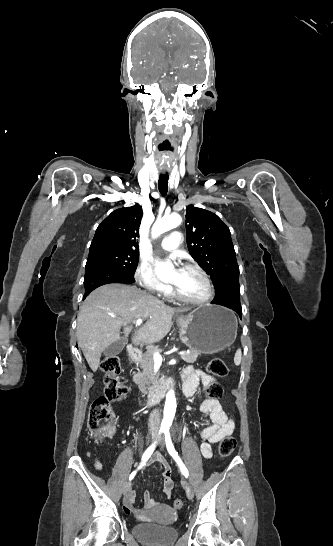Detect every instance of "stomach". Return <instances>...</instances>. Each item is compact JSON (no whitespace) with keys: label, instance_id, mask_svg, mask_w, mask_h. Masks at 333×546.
<instances>
[{"label":"stomach","instance_id":"0dacf381","mask_svg":"<svg viewBox=\"0 0 333 546\" xmlns=\"http://www.w3.org/2000/svg\"><path fill=\"white\" fill-rule=\"evenodd\" d=\"M180 340L192 351L215 354L231 346L237 335L235 315L225 307H198L177 320Z\"/></svg>","mask_w":333,"mask_h":546}]
</instances>
